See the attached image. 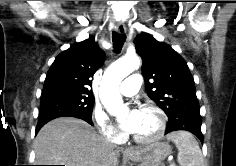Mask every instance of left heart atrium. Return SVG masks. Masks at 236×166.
I'll return each mask as SVG.
<instances>
[{"label": "left heart atrium", "mask_w": 236, "mask_h": 166, "mask_svg": "<svg viewBox=\"0 0 236 166\" xmlns=\"http://www.w3.org/2000/svg\"><path fill=\"white\" fill-rule=\"evenodd\" d=\"M140 124V111L139 110H132L126 119L121 123V128L127 132L134 134L139 127Z\"/></svg>", "instance_id": "1"}]
</instances>
